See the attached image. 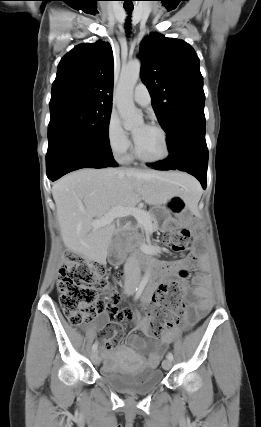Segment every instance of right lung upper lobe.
<instances>
[{
	"label": "right lung upper lobe",
	"mask_w": 261,
	"mask_h": 427,
	"mask_svg": "<svg viewBox=\"0 0 261 427\" xmlns=\"http://www.w3.org/2000/svg\"><path fill=\"white\" fill-rule=\"evenodd\" d=\"M113 53L109 43L77 45L60 61L50 109L81 104L112 107Z\"/></svg>",
	"instance_id": "right-lung-upper-lobe-1"
}]
</instances>
